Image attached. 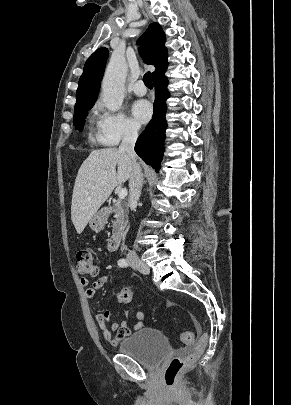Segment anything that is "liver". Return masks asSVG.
<instances>
[{"label":"liver","mask_w":291,"mask_h":405,"mask_svg":"<svg viewBox=\"0 0 291 405\" xmlns=\"http://www.w3.org/2000/svg\"><path fill=\"white\" fill-rule=\"evenodd\" d=\"M130 173L131 159L127 153L116 148L90 153L79 168L72 195L71 220L78 234L114 188L130 178Z\"/></svg>","instance_id":"liver-1"}]
</instances>
